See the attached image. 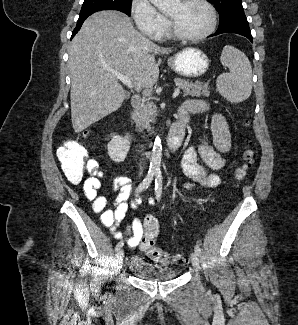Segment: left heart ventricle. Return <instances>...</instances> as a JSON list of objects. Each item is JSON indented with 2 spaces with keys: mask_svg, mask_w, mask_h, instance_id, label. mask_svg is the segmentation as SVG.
I'll return each instance as SVG.
<instances>
[{
  "mask_svg": "<svg viewBox=\"0 0 298 325\" xmlns=\"http://www.w3.org/2000/svg\"><path fill=\"white\" fill-rule=\"evenodd\" d=\"M161 8L170 15L175 29L185 36L201 33L208 24L205 9L193 0L162 1Z\"/></svg>",
  "mask_w": 298,
  "mask_h": 325,
  "instance_id": "left-heart-ventricle-1",
  "label": "left heart ventricle"
}]
</instances>
